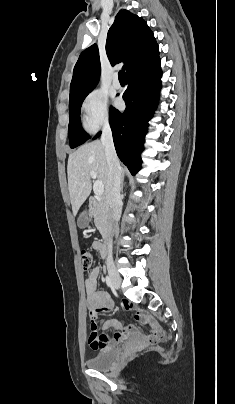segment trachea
Returning <instances> with one entry per match:
<instances>
[{
    "label": "trachea",
    "instance_id": "1",
    "mask_svg": "<svg viewBox=\"0 0 235 404\" xmlns=\"http://www.w3.org/2000/svg\"><path fill=\"white\" fill-rule=\"evenodd\" d=\"M118 76H119L120 81H125L126 80L124 70H120L119 73H118Z\"/></svg>",
    "mask_w": 235,
    "mask_h": 404
}]
</instances>
